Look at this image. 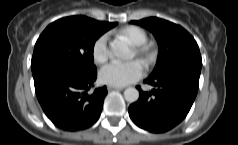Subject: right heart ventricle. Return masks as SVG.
Here are the masks:
<instances>
[{
  "label": "right heart ventricle",
  "mask_w": 238,
  "mask_h": 145,
  "mask_svg": "<svg viewBox=\"0 0 238 145\" xmlns=\"http://www.w3.org/2000/svg\"><path fill=\"white\" fill-rule=\"evenodd\" d=\"M118 35L127 39L133 45H140L146 39L145 32L135 26H128L119 31Z\"/></svg>",
  "instance_id": "right-heart-ventricle-1"
}]
</instances>
